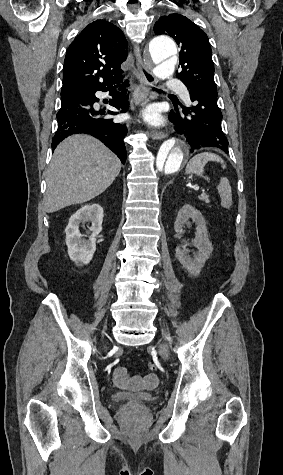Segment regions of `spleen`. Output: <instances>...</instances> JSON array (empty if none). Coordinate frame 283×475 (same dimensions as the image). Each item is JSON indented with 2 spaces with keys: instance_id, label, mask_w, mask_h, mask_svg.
I'll return each mask as SVG.
<instances>
[{
  "instance_id": "3e777b00",
  "label": "spleen",
  "mask_w": 283,
  "mask_h": 475,
  "mask_svg": "<svg viewBox=\"0 0 283 475\" xmlns=\"http://www.w3.org/2000/svg\"><path fill=\"white\" fill-rule=\"evenodd\" d=\"M208 162H219V164H222L221 168H223V170L226 168L220 156L212 154V152H202V154H197V156L191 158L186 166L185 172L186 174H197V176H202L204 168ZM217 190L220 194L222 208H230V206H232V192L229 180H227V178H221Z\"/></svg>"
}]
</instances>
